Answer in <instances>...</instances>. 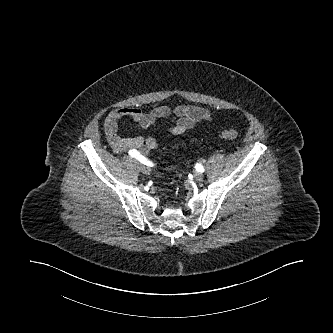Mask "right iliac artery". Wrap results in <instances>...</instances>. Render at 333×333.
<instances>
[{
    "instance_id": "obj_1",
    "label": "right iliac artery",
    "mask_w": 333,
    "mask_h": 333,
    "mask_svg": "<svg viewBox=\"0 0 333 333\" xmlns=\"http://www.w3.org/2000/svg\"><path fill=\"white\" fill-rule=\"evenodd\" d=\"M129 155L131 156V157H134V158H136L137 160H139L140 162H142V163H144V164H147V165H152V163L148 160V159H146L144 156H142L138 151H136V150H130L129 151Z\"/></svg>"
}]
</instances>
